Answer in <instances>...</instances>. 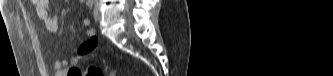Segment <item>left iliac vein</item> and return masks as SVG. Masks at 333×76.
I'll return each mask as SVG.
<instances>
[{"mask_svg":"<svg viewBox=\"0 0 333 76\" xmlns=\"http://www.w3.org/2000/svg\"><path fill=\"white\" fill-rule=\"evenodd\" d=\"M93 16H94L95 20H100V18H101V14H100L98 5H96L94 8Z\"/></svg>","mask_w":333,"mask_h":76,"instance_id":"left-iliac-vein-1","label":"left iliac vein"}]
</instances>
